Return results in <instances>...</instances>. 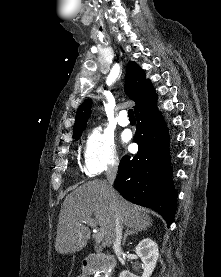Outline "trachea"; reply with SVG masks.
<instances>
[{"instance_id":"obj_1","label":"trachea","mask_w":221,"mask_h":277,"mask_svg":"<svg viewBox=\"0 0 221 277\" xmlns=\"http://www.w3.org/2000/svg\"><path fill=\"white\" fill-rule=\"evenodd\" d=\"M128 117H129V119H135L134 112H133L132 109H129V111H128Z\"/></svg>"}]
</instances>
